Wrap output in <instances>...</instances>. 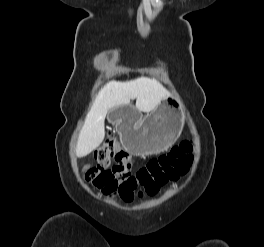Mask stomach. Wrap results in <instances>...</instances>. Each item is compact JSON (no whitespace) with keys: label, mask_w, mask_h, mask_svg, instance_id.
Wrapping results in <instances>:
<instances>
[{"label":"stomach","mask_w":264,"mask_h":247,"mask_svg":"<svg viewBox=\"0 0 264 247\" xmlns=\"http://www.w3.org/2000/svg\"><path fill=\"white\" fill-rule=\"evenodd\" d=\"M158 108L144 117L135 116L128 106L112 108L110 122L120 126L122 144L131 153L150 155L171 146L181 125V107L177 98L160 101Z\"/></svg>","instance_id":"obj_1"}]
</instances>
